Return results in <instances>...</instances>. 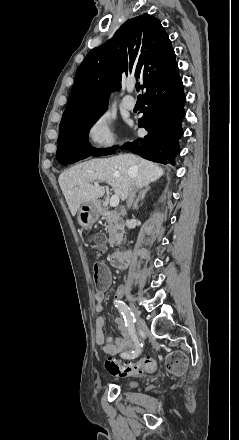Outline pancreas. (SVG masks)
Masks as SVG:
<instances>
[{
    "instance_id": "1",
    "label": "pancreas",
    "mask_w": 239,
    "mask_h": 440,
    "mask_svg": "<svg viewBox=\"0 0 239 440\" xmlns=\"http://www.w3.org/2000/svg\"><path fill=\"white\" fill-rule=\"evenodd\" d=\"M101 214L103 220H106L108 224L106 228H108V242L111 248H113V246H120L124 234V224L122 218H120V214H117L115 210L108 212V208H104V212H101Z\"/></svg>"
}]
</instances>
